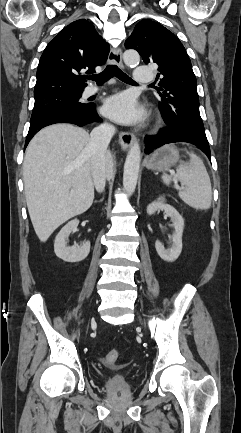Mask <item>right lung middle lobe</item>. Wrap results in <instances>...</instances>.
Listing matches in <instances>:
<instances>
[{
    "instance_id": "right-lung-middle-lobe-1",
    "label": "right lung middle lobe",
    "mask_w": 241,
    "mask_h": 433,
    "mask_svg": "<svg viewBox=\"0 0 241 433\" xmlns=\"http://www.w3.org/2000/svg\"><path fill=\"white\" fill-rule=\"evenodd\" d=\"M81 94L82 91H60L35 96L31 121L56 109L83 106L84 104L78 101Z\"/></svg>"
}]
</instances>
